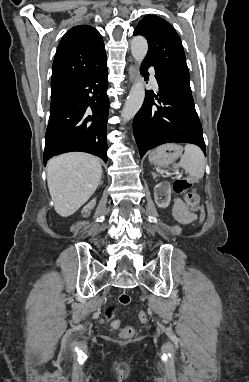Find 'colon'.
<instances>
[{"label": "colon", "instance_id": "1", "mask_svg": "<svg viewBox=\"0 0 249 382\" xmlns=\"http://www.w3.org/2000/svg\"><path fill=\"white\" fill-rule=\"evenodd\" d=\"M190 186H191V182L188 179H179L174 182L173 190L176 193H184L189 189ZM185 200L190 211L198 213V214L203 213V207L200 203L199 196L195 191L187 192L185 195ZM130 301H131V297L127 293H122L118 297L119 305H128ZM116 314H117L116 306H110L106 309V312H105L106 319L112 321V326L114 328H118L120 326L119 321L115 319ZM138 320L141 323H146L147 322L146 313L139 312ZM133 335H134V328L131 326H125L120 329V336L123 339H130Z\"/></svg>", "mask_w": 249, "mask_h": 382}]
</instances>
